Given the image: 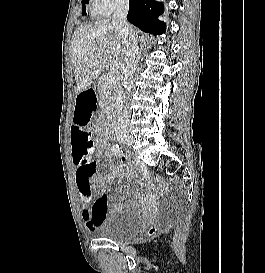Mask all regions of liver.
<instances>
[{
	"label": "liver",
	"instance_id": "obj_1",
	"mask_svg": "<svg viewBox=\"0 0 265 273\" xmlns=\"http://www.w3.org/2000/svg\"><path fill=\"white\" fill-rule=\"evenodd\" d=\"M70 49L76 94L90 88L112 58L123 63L126 56L125 39L109 19L78 27Z\"/></svg>",
	"mask_w": 265,
	"mask_h": 273
}]
</instances>
